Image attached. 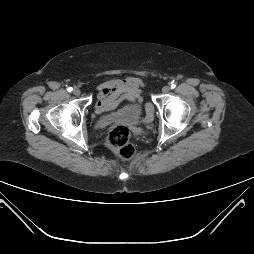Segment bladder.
<instances>
[{"instance_id": "1", "label": "bladder", "mask_w": 254, "mask_h": 254, "mask_svg": "<svg viewBox=\"0 0 254 254\" xmlns=\"http://www.w3.org/2000/svg\"><path fill=\"white\" fill-rule=\"evenodd\" d=\"M142 111H143L142 105L138 104V105H136L134 107L127 108L124 111L120 112L117 115V117L125 118V119H128V120H137L141 116ZM113 117L114 116L104 117L100 121H102V122H108Z\"/></svg>"}]
</instances>
